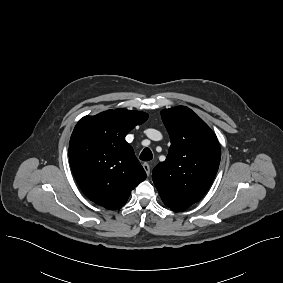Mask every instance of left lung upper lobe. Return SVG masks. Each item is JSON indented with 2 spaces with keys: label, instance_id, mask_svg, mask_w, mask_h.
<instances>
[{
  "label": "left lung upper lobe",
  "instance_id": "left-lung-upper-lobe-1",
  "mask_svg": "<svg viewBox=\"0 0 283 283\" xmlns=\"http://www.w3.org/2000/svg\"><path fill=\"white\" fill-rule=\"evenodd\" d=\"M171 146L152 174L162 201L173 211L196 203L209 189L220 164L216 135L191 109L178 106L161 111Z\"/></svg>",
  "mask_w": 283,
  "mask_h": 283
}]
</instances>
